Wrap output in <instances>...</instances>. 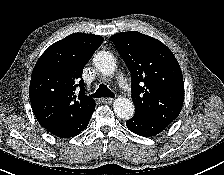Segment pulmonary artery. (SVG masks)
Listing matches in <instances>:
<instances>
[{"instance_id": "e3ab8cb5", "label": "pulmonary artery", "mask_w": 224, "mask_h": 175, "mask_svg": "<svg viewBox=\"0 0 224 175\" xmlns=\"http://www.w3.org/2000/svg\"><path fill=\"white\" fill-rule=\"evenodd\" d=\"M120 86H121L122 88H124V89H127V88H128V85H127V83L125 82L124 79H122V80L120 81Z\"/></svg>"}]
</instances>
